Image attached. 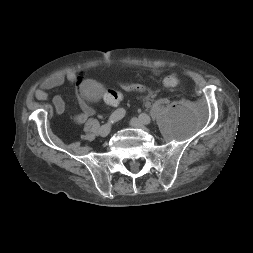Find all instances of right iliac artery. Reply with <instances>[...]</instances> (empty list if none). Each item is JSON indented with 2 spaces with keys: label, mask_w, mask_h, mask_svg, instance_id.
Here are the masks:
<instances>
[{
  "label": "right iliac artery",
  "mask_w": 253,
  "mask_h": 253,
  "mask_svg": "<svg viewBox=\"0 0 253 253\" xmlns=\"http://www.w3.org/2000/svg\"><path fill=\"white\" fill-rule=\"evenodd\" d=\"M125 114H126V111L123 108H119L111 114L108 122L115 123L119 121L120 119H122L125 116Z\"/></svg>",
  "instance_id": "right-iliac-artery-1"
}]
</instances>
